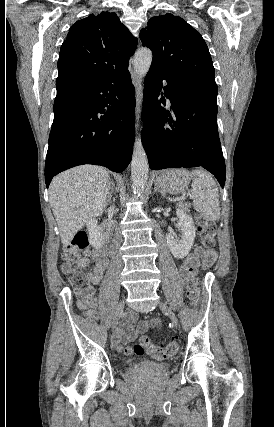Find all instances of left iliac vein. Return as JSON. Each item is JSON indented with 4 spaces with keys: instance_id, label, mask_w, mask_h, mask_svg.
<instances>
[{
    "instance_id": "1",
    "label": "left iliac vein",
    "mask_w": 274,
    "mask_h": 427,
    "mask_svg": "<svg viewBox=\"0 0 274 427\" xmlns=\"http://www.w3.org/2000/svg\"><path fill=\"white\" fill-rule=\"evenodd\" d=\"M159 306H160L162 312L170 318V321L173 324V326L177 327L178 326L177 316L174 314V312L172 311V309L170 307H168L163 302H160Z\"/></svg>"
}]
</instances>
